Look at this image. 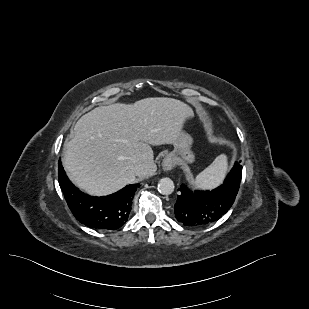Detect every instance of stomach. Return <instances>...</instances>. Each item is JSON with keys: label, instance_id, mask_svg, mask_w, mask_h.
<instances>
[{"label": "stomach", "instance_id": "stomach-1", "mask_svg": "<svg viewBox=\"0 0 309 309\" xmlns=\"http://www.w3.org/2000/svg\"><path fill=\"white\" fill-rule=\"evenodd\" d=\"M192 144V137L188 133L181 131L175 149L168 154V157H170L175 163H192L194 161V154L191 150Z\"/></svg>", "mask_w": 309, "mask_h": 309}]
</instances>
